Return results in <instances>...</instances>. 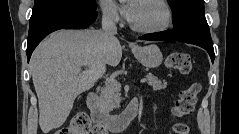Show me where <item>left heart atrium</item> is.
Returning <instances> with one entry per match:
<instances>
[{"instance_id": "obj_1", "label": "left heart atrium", "mask_w": 239, "mask_h": 134, "mask_svg": "<svg viewBox=\"0 0 239 134\" xmlns=\"http://www.w3.org/2000/svg\"><path fill=\"white\" fill-rule=\"evenodd\" d=\"M135 10H136V2L135 1H131V2L127 3L126 5H124V7H123L124 15L130 22H131L132 18L134 17Z\"/></svg>"}]
</instances>
